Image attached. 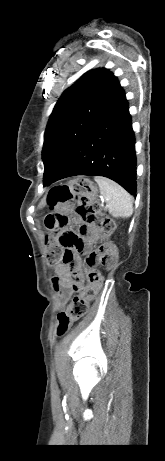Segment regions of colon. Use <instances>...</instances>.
<instances>
[{"instance_id":"colon-1","label":"colon","mask_w":165,"mask_h":461,"mask_svg":"<svg viewBox=\"0 0 165 461\" xmlns=\"http://www.w3.org/2000/svg\"><path fill=\"white\" fill-rule=\"evenodd\" d=\"M96 191L93 184L86 178H79L54 187L47 198L48 207L52 210L45 218V226L49 231L46 244L49 247L47 254L48 265L60 262V251H72L56 248L55 233L63 229L68 222L66 211H72L85 224L96 225L106 239L114 231L112 219L101 212L95 203ZM116 260L115 249L103 242L97 250L87 258L86 270L87 286L80 294L73 297L68 309L58 315L56 332L58 336L65 335L71 325L85 316L91 301L98 295L103 285V277L95 268L96 265L110 267Z\"/></svg>"}]
</instances>
